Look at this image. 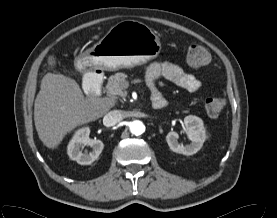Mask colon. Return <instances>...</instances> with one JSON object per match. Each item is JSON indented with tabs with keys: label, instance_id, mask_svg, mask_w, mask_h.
I'll list each match as a JSON object with an SVG mask.
<instances>
[{
	"label": "colon",
	"instance_id": "colon-1",
	"mask_svg": "<svg viewBox=\"0 0 277 218\" xmlns=\"http://www.w3.org/2000/svg\"><path fill=\"white\" fill-rule=\"evenodd\" d=\"M187 62L192 67H200L205 65L209 59L208 51L199 44H191L188 47L186 54ZM50 64L54 63V59H50ZM225 99L221 96L211 95L205 99V109L210 117H218L224 107H225Z\"/></svg>",
	"mask_w": 277,
	"mask_h": 218
}]
</instances>
